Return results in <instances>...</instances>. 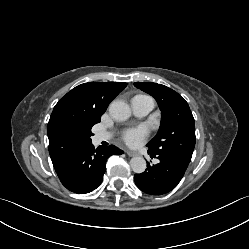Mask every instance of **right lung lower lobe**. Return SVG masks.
<instances>
[{"instance_id": "right-lung-lower-lobe-1", "label": "right lung lower lobe", "mask_w": 249, "mask_h": 249, "mask_svg": "<svg viewBox=\"0 0 249 249\" xmlns=\"http://www.w3.org/2000/svg\"><path fill=\"white\" fill-rule=\"evenodd\" d=\"M112 154L121 155L123 151L113 145L98 151L89 143L56 170V173L68 190L78 194L89 193L101 184L107 158Z\"/></svg>"}]
</instances>
